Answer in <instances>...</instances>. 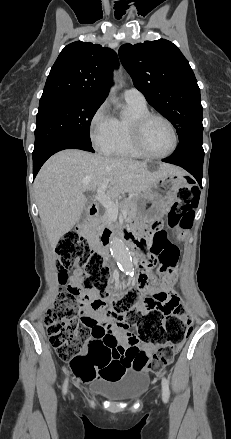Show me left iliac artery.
<instances>
[{
	"mask_svg": "<svg viewBox=\"0 0 231 439\" xmlns=\"http://www.w3.org/2000/svg\"><path fill=\"white\" fill-rule=\"evenodd\" d=\"M170 397V389L168 380L163 377L162 378V399L164 403H167Z\"/></svg>",
	"mask_w": 231,
	"mask_h": 439,
	"instance_id": "left-iliac-artery-1",
	"label": "left iliac artery"
}]
</instances>
